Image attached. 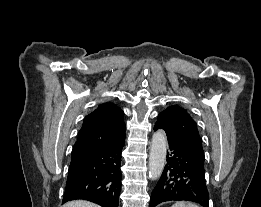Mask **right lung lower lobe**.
Listing matches in <instances>:
<instances>
[{
  "label": "right lung lower lobe",
  "instance_id": "1",
  "mask_svg": "<svg viewBox=\"0 0 261 207\" xmlns=\"http://www.w3.org/2000/svg\"><path fill=\"white\" fill-rule=\"evenodd\" d=\"M124 143L125 139L105 148L72 156L63 203L83 199L102 207H118Z\"/></svg>",
  "mask_w": 261,
  "mask_h": 207
}]
</instances>
